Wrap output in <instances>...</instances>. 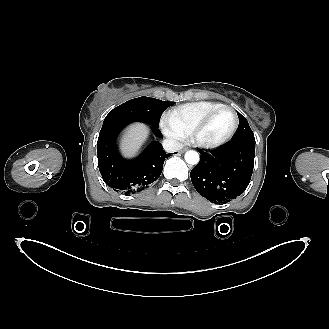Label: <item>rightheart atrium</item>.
Here are the masks:
<instances>
[{"mask_svg":"<svg viewBox=\"0 0 329 329\" xmlns=\"http://www.w3.org/2000/svg\"><path fill=\"white\" fill-rule=\"evenodd\" d=\"M161 125L164 133L173 141L178 142L185 137V134L179 130L167 116L162 119Z\"/></svg>","mask_w":329,"mask_h":329,"instance_id":"1","label":"right heart atrium"}]
</instances>
